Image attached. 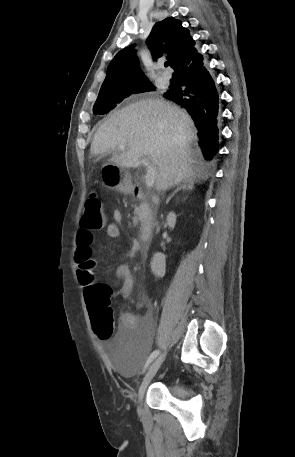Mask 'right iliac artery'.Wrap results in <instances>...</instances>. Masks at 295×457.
I'll return each mask as SVG.
<instances>
[{
  "instance_id": "right-iliac-artery-1",
  "label": "right iliac artery",
  "mask_w": 295,
  "mask_h": 457,
  "mask_svg": "<svg viewBox=\"0 0 295 457\" xmlns=\"http://www.w3.org/2000/svg\"><path fill=\"white\" fill-rule=\"evenodd\" d=\"M159 355V350H155L153 351L149 358L147 359V362L145 364V367H144V371L146 370V368L149 366V364Z\"/></svg>"
}]
</instances>
